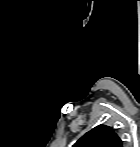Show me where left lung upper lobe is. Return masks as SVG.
Here are the masks:
<instances>
[{
    "mask_svg": "<svg viewBox=\"0 0 140 147\" xmlns=\"http://www.w3.org/2000/svg\"><path fill=\"white\" fill-rule=\"evenodd\" d=\"M122 143L114 129L98 125L82 136L73 147H122Z\"/></svg>",
    "mask_w": 140,
    "mask_h": 147,
    "instance_id": "obj_1",
    "label": "left lung upper lobe"
}]
</instances>
